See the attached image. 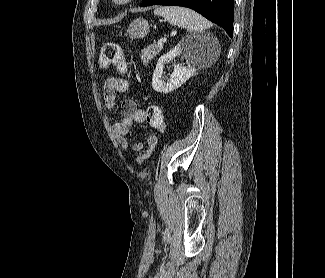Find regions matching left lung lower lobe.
Wrapping results in <instances>:
<instances>
[{
    "label": "left lung lower lobe",
    "mask_w": 325,
    "mask_h": 278,
    "mask_svg": "<svg viewBox=\"0 0 325 278\" xmlns=\"http://www.w3.org/2000/svg\"><path fill=\"white\" fill-rule=\"evenodd\" d=\"M176 5L191 8L233 36L234 0H145L140 6Z\"/></svg>",
    "instance_id": "0a47b994"
}]
</instances>
